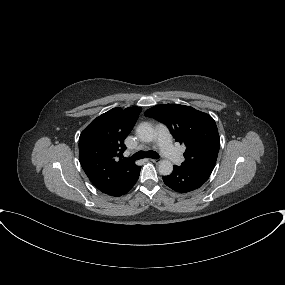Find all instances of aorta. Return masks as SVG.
I'll return each instance as SVG.
<instances>
[{
  "label": "aorta",
  "instance_id": "aorta-1",
  "mask_svg": "<svg viewBox=\"0 0 285 285\" xmlns=\"http://www.w3.org/2000/svg\"><path fill=\"white\" fill-rule=\"evenodd\" d=\"M136 134L141 141L147 143L152 142L155 137L154 129L148 123H141L136 129ZM158 170L160 174L167 176L172 173L173 165L171 161L164 159L159 162Z\"/></svg>",
  "mask_w": 285,
  "mask_h": 285
}]
</instances>
